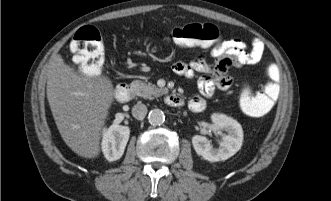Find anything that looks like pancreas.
Returning a JSON list of instances; mask_svg holds the SVG:
<instances>
[{"label":"pancreas","instance_id":"pancreas-1","mask_svg":"<svg viewBox=\"0 0 331 201\" xmlns=\"http://www.w3.org/2000/svg\"><path fill=\"white\" fill-rule=\"evenodd\" d=\"M131 88L134 90L136 96L143 97L145 99H154L165 93V89L158 88L152 83H144L140 80H134L131 82Z\"/></svg>","mask_w":331,"mask_h":201}]
</instances>
